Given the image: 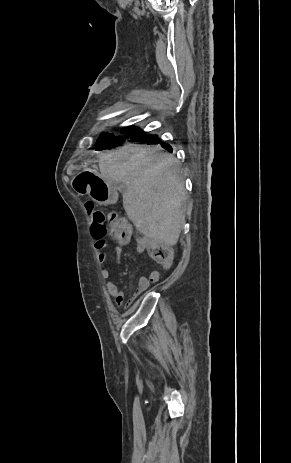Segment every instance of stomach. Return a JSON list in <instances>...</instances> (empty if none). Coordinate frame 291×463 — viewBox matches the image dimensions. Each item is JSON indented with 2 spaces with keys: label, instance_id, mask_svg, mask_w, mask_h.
Here are the masks:
<instances>
[{
  "label": "stomach",
  "instance_id": "1",
  "mask_svg": "<svg viewBox=\"0 0 291 463\" xmlns=\"http://www.w3.org/2000/svg\"><path fill=\"white\" fill-rule=\"evenodd\" d=\"M71 184L76 192L88 194L99 204H110L117 199L113 185L95 172H84L75 177Z\"/></svg>",
  "mask_w": 291,
  "mask_h": 463
}]
</instances>
